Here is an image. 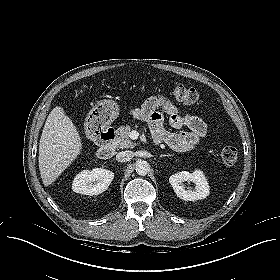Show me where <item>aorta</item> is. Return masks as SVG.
Wrapping results in <instances>:
<instances>
[{
    "label": "aorta",
    "mask_w": 280,
    "mask_h": 280,
    "mask_svg": "<svg viewBox=\"0 0 280 280\" xmlns=\"http://www.w3.org/2000/svg\"><path fill=\"white\" fill-rule=\"evenodd\" d=\"M150 171V165L147 161L140 160L136 163V172L138 175L145 176Z\"/></svg>",
    "instance_id": "obj_1"
}]
</instances>
